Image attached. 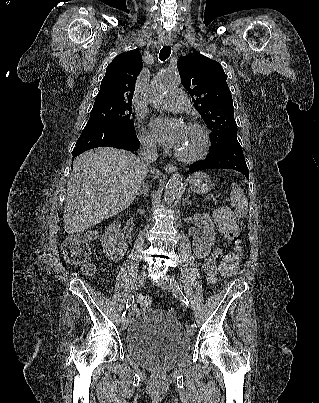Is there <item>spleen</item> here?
<instances>
[{
    "instance_id": "1",
    "label": "spleen",
    "mask_w": 319,
    "mask_h": 403,
    "mask_svg": "<svg viewBox=\"0 0 319 403\" xmlns=\"http://www.w3.org/2000/svg\"><path fill=\"white\" fill-rule=\"evenodd\" d=\"M231 188L230 198L232 204L236 207V216L239 218L246 217L248 214V200L243 189L236 183H233Z\"/></svg>"
}]
</instances>
